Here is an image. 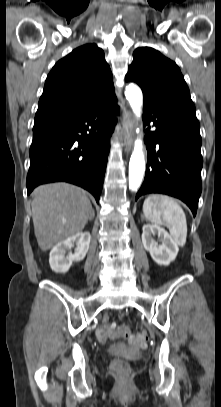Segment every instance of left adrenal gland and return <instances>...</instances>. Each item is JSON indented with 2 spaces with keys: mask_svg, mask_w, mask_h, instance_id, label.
I'll return each mask as SVG.
<instances>
[{
  "mask_svg": "<svg viewBox=\"0 0 221 407\" xmlns=\"http://www.w3.org/2000/svg\"><path fill=\"white\" fill-rule=\"evenodd\" d=\"M141 220H144V216H143V215H141Z\"/></svg>",
  "mask_w": 221,
  "mask_h": 407,
  "instance_id": "a2214340",
  "label": "left adrenal gland"
}]
</instances>
